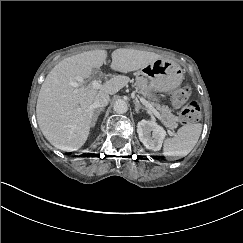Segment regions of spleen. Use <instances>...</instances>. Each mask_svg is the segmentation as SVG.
I'll return each mask as SVG.
<instances>
[{"instance_id":"spleen-1","label":"spleen","mask_w":243,"mask_h":243,"mask_svg":"<svg viewBox=\"0 0 243 243\" xmlns=\"http://www.w3.org/2000/svg\"><path fill=\"white\" fill-rule=\"evenodd\" d=\"M201 132V123L179 128L175 135L164 140V156H187L197 144Z\"/></svg>"}]
</instances>
